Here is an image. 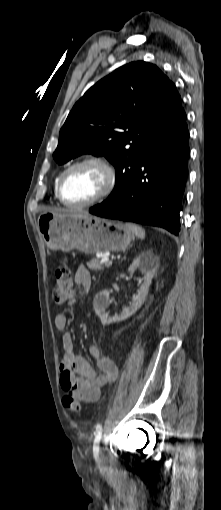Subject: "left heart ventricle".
Here are the masks:
<instances>
[{"label": "left heart ventricle", "instance_id": "b2bd125f", "mask_svg": "<svg viewBox=\"0 0 221 510\" xmlns=\"http://www.w3.org/2000/svg\"><path fill=\"white\" fill-rule=\"evenodd\" d=\"M103 182L104 176L99 168L93 165L78 167L64 180V198L71 203L87 201L99 192Z\"/></svg>", "mask_w": 221, "mask_h": 510}]
</instances>
